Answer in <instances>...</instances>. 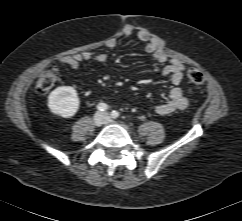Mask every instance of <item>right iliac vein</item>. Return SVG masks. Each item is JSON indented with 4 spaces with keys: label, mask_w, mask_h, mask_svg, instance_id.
<instances>
[{
    "label": "right iliac vein",
    "mask_w": 242,
    "mask_h": 221,
    "mask_svg": "<svg viewBox=\"0 0 242 221\" xmlns=\"http://www.w3.org/2000/svg\"><path fill=\"white\" fill-rule=\"evenodd\" d=\"M104 121H105V116L101 112L96 113L93 117V122L97 127L101 126L104 123Z\"/></svg>",
    "instance_id": "1"
}]
</instances>
